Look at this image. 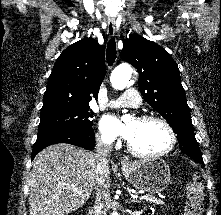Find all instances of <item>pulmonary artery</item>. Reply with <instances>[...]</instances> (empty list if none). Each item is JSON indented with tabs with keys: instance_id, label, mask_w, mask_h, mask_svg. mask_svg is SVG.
Instances as JSON below:
<instances>
[{
	"instance_id": "pulmonary-artery-1",
	"label": "pulmonary artery",
	"mask_w": 221,
	"mask_h": 215,
	"mask_svg": "<svg viewBox=\"0 0 221 215\" xmlns=\"http://www.w3.org/2000/svg\"><path fill=\"white\" fill-rule=\"evenodd\" d=\"M109 105L114 108H137L141 105V97L137 90H135L134 88H129L119 98L110 101Z\"/></svg>"
}]
</instances>
